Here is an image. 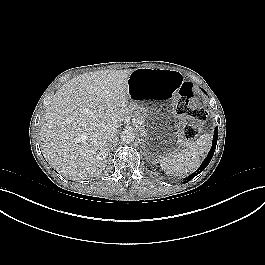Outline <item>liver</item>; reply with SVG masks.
Here are the masks:
<instances>
[{"mask_svg":"<svg viewBox=\"0 0 265 265\" xmlns=\"http://www.w3.org/2000/svg\"><path fill=\"white\" fill-rule=\"evenodd\" d=\"M132 71L85 73L69 80L53 96L42 117L41 148L63 176L84 180L105 169L109 148L101 130L119 128L130 113L128 78Z\"/></svg>","mask_w":265,"mask_h":265,"instance_id":"1","label":"liver"}]
</instances>
